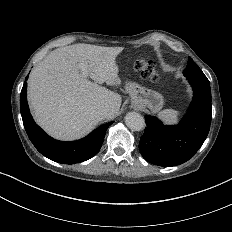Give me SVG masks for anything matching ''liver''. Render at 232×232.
I'll return each mask as SVG.
<instances>
[{"label": "liver", "instance_id": "liver-1", "mask_svg": "<svg viewBox=\"0 0 232 232\" xmlns=\"http://www.w3.org/2000/svg\"><path fill=\"white\" fill-rule=\"evenodd\" d=\"M123 47L75 44L51 51L31 71L28 103L36 123L59 140H75L88 134L103 119H113L122 98L100 84L118 85L116 57ZM79 63L88 64L89 77ZM109 106L110 113L99 110Z\"/></svg>", "mask_w": 232, "mask_h": 232}]
</instances>
